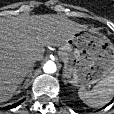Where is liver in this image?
Instances as JSON below:
<instances>
[{"label": "liver", "mask_w": 114, "mask_h": 114, "mask_svg": "<svg viewBox=\"0 0 114 114\" xmlns=\"http://www.w3.org/2000/svg\"><path fill=\"white\" fill-rule=\"evenodd\" d=\"M85 28L55 15L0 18V104L14 95L34 62L42 60L45 46H61Z\"/></svg>", "instance_id": "obj_1"}]
</instances>
